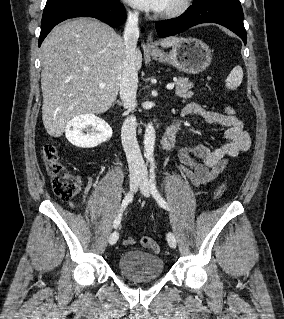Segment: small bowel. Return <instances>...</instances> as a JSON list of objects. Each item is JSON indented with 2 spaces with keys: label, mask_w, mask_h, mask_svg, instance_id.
Here are the masks:
<instances>
[{
  "label": "small bowel",
  "mask_w": 284,
  "mask_h": 319,
  "mask_svg": "<svg viewBox=\"0 0 284 319\" xmlns=\"http://www.w3.org/2000/svg\"><path fill=\"white\" fill-rule=\"evenodd\" d=\"M191 115H198L210 124L226 127L224 142L218 147L196 144L185 146L178 153V172L198 187L214 181L225 169L229 158L247 151L251 136L244 129L242 120L236 116H227L207 110L197 103H189L183 109L182 116ZM180 125L178 122L174 126L179 130Z\"/></svg>",
  "instance_id": "1"
}]
</instances>
